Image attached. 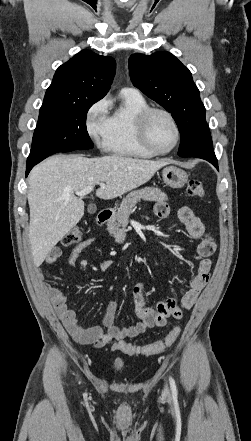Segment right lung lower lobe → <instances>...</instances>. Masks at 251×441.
<instances>
[{
  "instance_id": "98d812e1",
  "label": "right lung lower lobe",
  "mask_w": 251,
  "mask_h": 441,
  "mask_svg": "<svg viewBox=\"0 0 251 441\" xmlns=\"http://www.w3.org/2000/svg\"><path fill=\"white\" fill-rule=\"evenodd\" d=\"M55 152H49V151H34L31 150L30 155L27 159V166H26V176L30 172V170L40 161L45 159L46 157L54 154Z\"/></svg>"
}]
</instances>
